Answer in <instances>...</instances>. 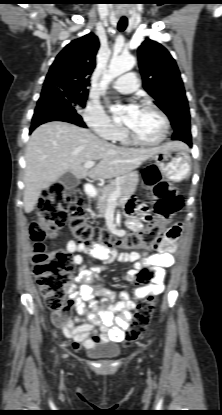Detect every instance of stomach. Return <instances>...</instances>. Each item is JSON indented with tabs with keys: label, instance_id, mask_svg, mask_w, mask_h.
<instances>
[{
	"label": "stomach",
	"instance_id": "obj_1",
	"mask_svg": "<svg viewBox=\"0 0 222 415\" xmlns=\"http://www.w3.org/2000/svg\"><path fill=\"white\" fill-rule=\"evenodd\" d=\"M168 144H164L152 160L168 180L180 182L190 174L191 159L187 147H168Z\"/></svg>",
	"mask_w": 222,
	"mask_h": 415
}]
</instances>
